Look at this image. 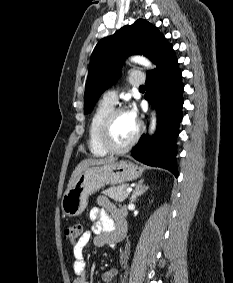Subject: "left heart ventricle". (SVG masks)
I'll use <instances>...</instances> for the list:
<instances>
[{
    "label": "left heart ventricle",
    "mask_w": 233,
    "mask_h": 283,
    "mask_svg": "<svg viewBox=\"0 0 233 283\" xmlns=\"http://www.w3.org/2000/svg\"><path fill=\"white\" fill-rule=\"evenodd\" d=\"M137 123L134 122L127 112L120 113L114 120L110 141L116 147L126 145L136 132Z\"/></svg>",
    "instance_id": "b2bd125f"
}]
</instances>
